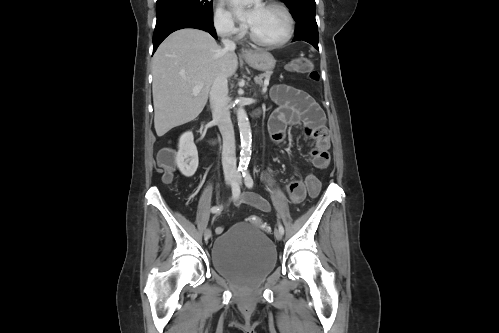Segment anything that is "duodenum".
<instances>
[{
	"mask_svg": "<svg viewBox=\"0 0 499 333\" xmlns=\"http://www.w3.org/2000/svg\"><path fill=\"white\" fill-rule=\"evenodd\" d=\"M252 114H253V116H258L260 114V112L259 111H253Z\"/></svg>",
	"mask_w": 499,
	"mask_h": 333,
	"instance_id": "410a0bca",
	"label": "duodenum"
}]
</instances>
